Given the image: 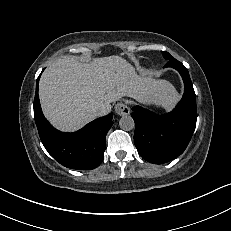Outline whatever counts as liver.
<instances>
[{
  "label": "liver",
  "instance_id": "liver-1",
  "mask_svg": "<svg viewBox=\"0 0 231 231\" xmlns=\"http://www.w3.org/2000/svg\"><path fill=\"white\" fill-rule=\"evenodd\" d=\"M170 106L176 100L167 81L139 76L120 56L94 58L80 63L63 56L47 67L39 83V98L45 117L57 129L73 132L94 120L95 110L124 97Z\"/></svg>",
  "mask_w": 231,
  "mask_h": 231
}]
</instances>
